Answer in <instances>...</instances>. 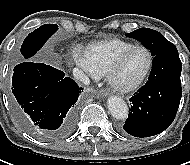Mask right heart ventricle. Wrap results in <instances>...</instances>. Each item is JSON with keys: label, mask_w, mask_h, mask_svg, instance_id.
I'll use <instances>...</instances> for the list:
<instances>
[{"label": "right heart ventricle", "mask_w": 190, "mask_h": 165, "mask_svg": "<svg viewBox=\"0 0 190 165\" xmlns=\"http://www.w3.org/2000/svg\"><path fill=\"white\" fill-rule=\"evenodd\" d=\"M132 45H134L132 42L120 38H111L88 45L86 54L96 76L107 75L118 55Z\"/></svg>", "instance_id": "right-heart-ventricle-1"}]
</instances>
